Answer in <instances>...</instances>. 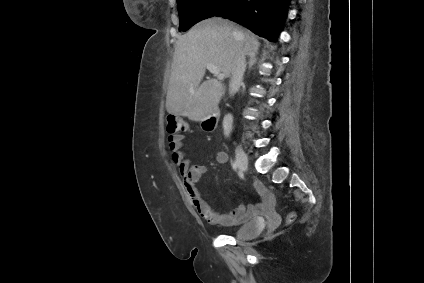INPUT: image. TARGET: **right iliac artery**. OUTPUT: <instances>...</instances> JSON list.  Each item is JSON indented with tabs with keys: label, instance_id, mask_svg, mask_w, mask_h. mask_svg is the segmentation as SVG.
<instances>
[{
	"label": "right iliac artery",
	"instance_id": "82829eb1",
	"mask_svg": "<svg viewBox=\"0 0 424 283\" xmlns=\"http://www.w3.org/2000/svg\"><path fill=\"white\" fill-rule=\"evenodd\" d=\"M232 167L236 171L238 168L237 162H233Z\"/></svg>",
	"mask_w": 424,
	"mask_h": 283
}]
</instances>
